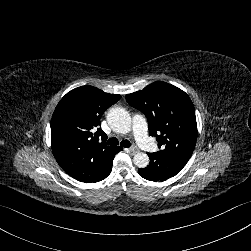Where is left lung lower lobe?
<instances>
[{"instance_id":"left-lung-lower-lobe-1","label":"left lung lower lobe","mask_w":251,"mask_h":251,"mask_svg":"<svg viewBox=\"0 0 251 251\" xmlns=\"http://www.w3.org/2000/svg\"><path fill=\"white\" fill-rule=\"evenodd\" d=\"M150 162L146 168L138 169L141 177L149 181H165L178 174L187 162L163 155L161 152L147 153Z\"/></svg>"}]
</instances>
